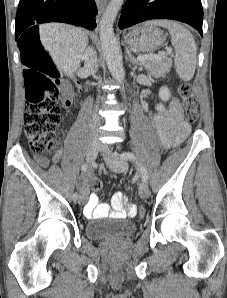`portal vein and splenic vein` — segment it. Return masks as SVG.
I'll use <instances>...</instances> for the list:
<instances>
[{"instance_id": "portal-vein-and-splenic-vein-1", "label": "portal vein and splenic vein", "mask_w": 227, "mask_h": 298, "mask_svg": "<svg viewBox=\"0 0 227 298\" xmlns=\"http://www.w3.org/2000/svg\"><path fill=\"white\" fill-rule=\"evenodd\" d=\"M172 53V49L171 48H167L166 52H162L161 54L158 55H143V56H138L137 59L140 62L146 61V60H158L160 58H162L165 55L171 54Z\"/></svg>"}]
</instances>
